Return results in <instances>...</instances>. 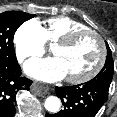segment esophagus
I'll use <instances>...</instances> for the list:
<instances>
[{
	"label": "esophagus",
	"instance_id": "1",
	"mask_svg": "<svg viewBox=\"0 0 117 117\" xmlns=\"http://www.w3.org/2000/svg\"><path fill=\"white\" fill-rule=\"evenodd\" d=\"M32 89L39 94H47L48 90H49L47 87H43V86L36 84V83H34L32 85Z\"/></svg>",
	"mask_w": 117,
	"mask_h": 117
}]
</instances>
